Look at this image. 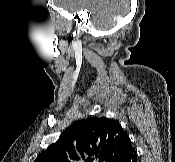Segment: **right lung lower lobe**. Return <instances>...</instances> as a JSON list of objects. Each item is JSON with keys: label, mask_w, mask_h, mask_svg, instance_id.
<instances>
[{"label": "right lung lower lobe", "mask_w": 175, "mask_h": 162, "mask_svg": "<svg viewBox=\"0 0 175 162\" xmlns=\"http://www.w3.org/2000/svg\"><path fill=\"white\" fill-rule=\"evenodd\" d=\"M137 153L131 146L127 151L117 156L112 162H136Z\"/></svg>", "instance_id": "1"}]
</instances>
